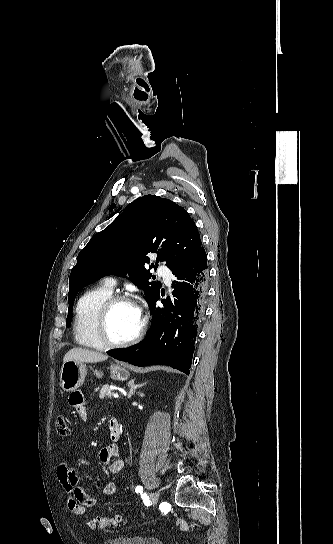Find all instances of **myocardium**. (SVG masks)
Returning a JSON list of instances; mask_svg holds the SVG:
<instances>
[{"mask_svg": "<svg viewBox=\"0 0 333 544\" xmlns=\"http://www.w3.org/2000/svg\"><path fill=\"white\" fill-rule=\"evenodd\" d=\"M120 303H129L133 304V300L122 294L111 295L100 307L97 317H96V335L99 341L103 344L104 347L108 348H124L136 343L142 336L145 329V322L143 319L140 320V325L136 333L127 340L124 341H114L111 339L108 332V319L113 308Z\"/></svg>", "mask_w": 333, "mask_h": 544, "instance_id": "f54148a6", "label": "myocardium"}]
</instances>
